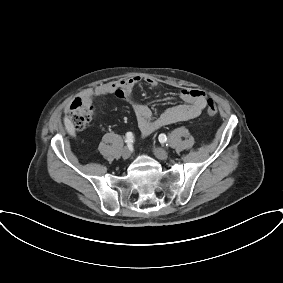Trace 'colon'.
I'll return each mask as SVG.
<instances>
[{
    "mask_svg": "<svg viewBox=\"0 0 283 283\" xmlns=\"http://www.w3.org/2000/svg\"><path fill=\"white\" fill-rule=\"evenodd\" d=\"M206 112L209 116H215L218 112L216 104L209 100L207 103ZM94 114V106L92 103L79 98L73 101L66 112V118L69 124L76 130L85 129Z\"/></svg>",
    "mask_w": 283,
    "mask_h": 283,
    "instance_id": "colon-1",
    "label": "colon"
}]
</instances>
